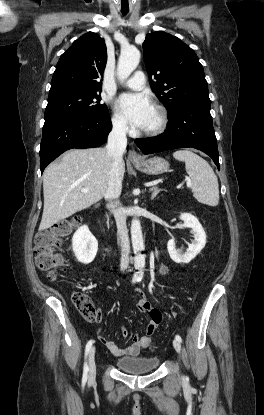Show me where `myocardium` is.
I'll return each instance as SVG.
<instances>
[{
  "label": "myocardium",
  "instance_id": "f54148a6",
  "mask_svg": "<svg viewBox=\"0 0 264 415\" xmlns=\"http://www.w3.org/2000/svg\"><path fill=\"white\" fill-rule=\"evenodd\" d=\"M154 109L158 113V123L151 129L142 130L139 134L142 136L152 137L162 133L168 125V114L166 109L159 104L154 105Z\"/></svg>",
  "mask_w": 264,
  "mask_h": 415
}]
</instances>
